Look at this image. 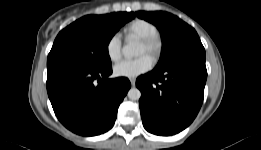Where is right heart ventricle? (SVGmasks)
I'll return each instance as SVG.
<instances>
[{"label": "right heart ventricle", "instance_id": "e07e8e85", "mask_svg": "<svg viewBox=\"0 0 261 150\" xmlns=\"http://www.w3.org/2000/svg\"><path fill=\"white\" fill-rule=\"evenodd\" d=\"M126 38L143 39L157 34V27L150 21L136 18L129 22L123 29Z\"/></svg>", "mask_w": 261, "mask_h": 150}]
</instances>
